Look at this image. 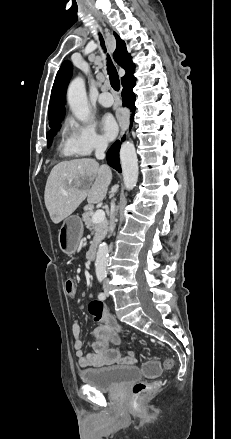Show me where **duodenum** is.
I'll use <instances>...</instances> for the list:
<instances>
[{
    "mask_svg": "<svg viewBox=\"0 0 231 439\" xmlns=\"http://www.w3.org/2000/svg\"><path fill=\"white\" fill-rule=\"evenodd\" d=\"M97 254V247L96 245L90 246V248L87 250L86 258L88 261H94Z\"/></svg>",
    "mask_w": 231,
    "mask_h": 439,
    "instance_id": "410a0bca",
    "label": "duodenum"
}]
</instances>
